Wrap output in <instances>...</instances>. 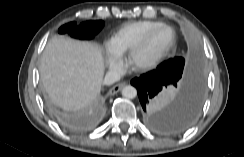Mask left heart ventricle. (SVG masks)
Returning a JSON list of instances; mask_svg holds the SVG:
<instances>
[{"instance_id": "b2bd125f", "label": "left heart ventricle", "mask_w": 244, "mask_h": 157, "mask_svg": "<svg viewBox=\"0 0 244 157\" xmlns=\"http://www.w3.org/2000/svg\"><path fill=\"white\" fill-rule=\"evenodd\" d=\"M173 32L168 28H162L155 32L145 47L138 55L139 62H147L161 52L172 40Z\"/></svg>"}]
</instances>
